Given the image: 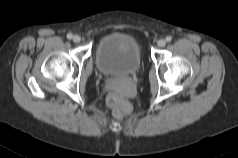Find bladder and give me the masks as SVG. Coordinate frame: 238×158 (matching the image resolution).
I'll use <instances>...</instances> for the list:
<instances>
[{"label":"bladder","instance_id":"bladder-1","mask_svg":"<svg viewBox=\"0 0 238 158\" xmlns=\"http://www.w3.org/2000/svg\"><path fill=\"white\" fill-rule=\"evenodd\" d=\"M141 52L136 39L114 32L101 38L95 51L98 70L108 76H125L137 72L141 66Z\"/></svg>","mask_w":238,"mask_h":158}]
</instances>
